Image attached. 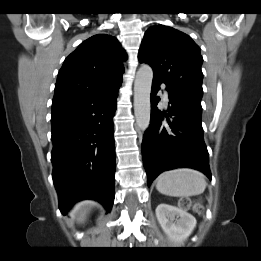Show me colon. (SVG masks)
I'll return each instance as SVG.
<instances>
[{
	"label": "colon",
	"mask_w": 261,
	"mask_h": 261,
	"mask_svg": "<svg viewBox=\"0 0 261 261\" xmlns=\"http://www.w3.org/2000/svg\"><path fill=\"white\" fill-rule=\"evenodd\" d=\"M180 206L183 208H188L191 206V201L188 198H183L180 201ZM193 209L197 214H201L203 212V207L200 203H196L193 205Z\"/></svg>",
	"instance_id": "obj_1"
}]
</instances>
